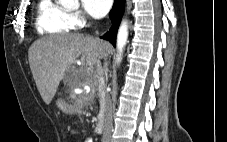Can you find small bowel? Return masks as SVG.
Wrapping results in <instances>:
<instances>
[{
	"mask_svg": "<svg viewBox=\"0 0 227 142\" xmlns=\"http://www.w3.org/2000/svg\"><path fill=\"white\" fill-rule=\"evenodd\" d=\"M84 142H93V140H92L91 138H86V139L84 140Z\"/></svg>",
	"mask_w": 227,
	"mask_h": 142,
	"instance_id": "c3829d8e",
	"label": "small bowel"
}]
</instances>
